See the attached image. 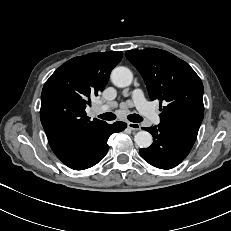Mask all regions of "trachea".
Wrapping results in <instances>:
<instances>
[{"label":"trachea","mask_w":231,"mask_h":231,"mask_svg":"<svg viewBox=\"0 0 231 231\" xmlns=\"http://www.w3.org/2000/svg\"><path fill=\"white\" fill-rule=\"evenodd\" d=\"M99 118L103 119V120H115L116 119V115L111 113V112H107V113H103L101 115L98 116ZM128 120L134 123H139L143 121V118L138 115V114H131L128 115Z\"/></svg>","instance_id":"obj_1"}]
</instances>
